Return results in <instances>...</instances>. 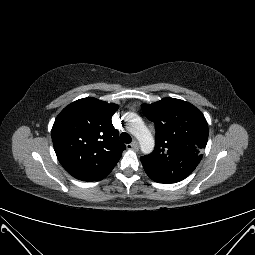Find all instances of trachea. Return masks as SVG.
Wrapping results in <instances>:
<instances>
[{
  "mask_svg": "<svg viewBox=\"0 0 255 255\" xmlns=\"http://www.w3.org/2000/svg\"><path fill=\"white\" fill-rule=\"evenodd\" d=\"M120 140H121L123 143L128 144V143H131L132 138H131V136H130L128 133L123 132V133H121V135H120Z\"/></svg>",
  "mask_w": 255,
  "mask_h": 255,
  "instance_id": "3493384b",
  "label": "trachea"
}]
</instances>
